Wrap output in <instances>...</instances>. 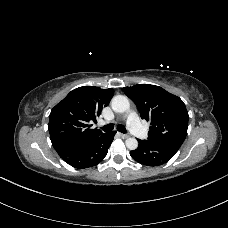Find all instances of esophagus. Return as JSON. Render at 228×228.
<instances>
[{"instance_id":"34e87169","label":"esophagus","mask_w":228,"mask_h":228,"mask_svg":"<svg viewBox=\"0 0 228 228\" xmlns=\"http://www.w3.org/2000/svg\"><path fill=\"white\" fill-rule=\"evenodd\" d=\"M120 136H121L123 139H126V138H128V137H129V135H128V134H123V133H120Z\"/></svg>"}]
</instances>
